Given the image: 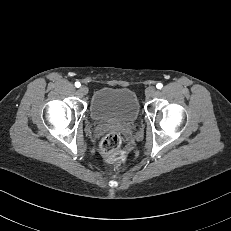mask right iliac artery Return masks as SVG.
<instances>
[{"instance_id":"right-iliac-artery-1","label":"right iliac artery","mask_w":231,"mask_h":231,"mask_svg":"<svg viewBox=\"0 0 231 231\" xmlns=\"http://www.w3.org/2000/svg\"><path fill=\"white\" fill-rule=\"evenodd\" d=\"M75 86H76L77 88H79V87L81 86V84H80L79 82H76V83H75Z\"/></svg>"}]
</instances>
